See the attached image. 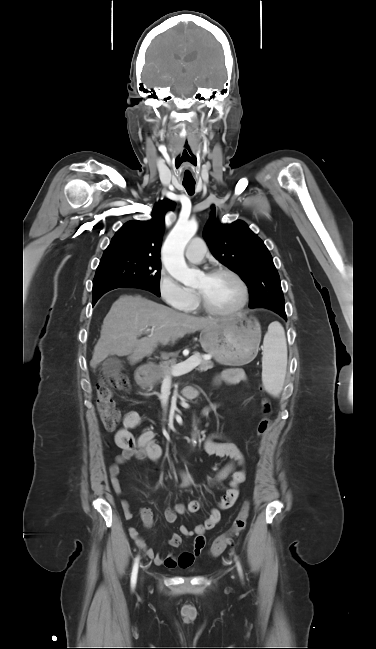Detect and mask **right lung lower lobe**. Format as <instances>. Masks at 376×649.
Returning a JSON list of instances; mask_svg holds the SVG:
<instances>
[{
	"mask_svg": "<svg viewBox=\"0 0 376 649\" xmlns=\"http://www.w3.org/2000/svg\"><path fill=\"white\" fill-rule=\"evenodd\" d=\"M115 288H117V287H107V288H103V289L99 290L98 292H96V293L94 294V296H93V305L97 302V300H98V299H99L103 294H105L106 292H108V291H110V290H112V289H115Z\"/></svg>",
	"mask_w": 376,
	"mask_h": 649,
	"instance_id": "1",
	"label": "right lung lower lobe"
}]
</instances>
